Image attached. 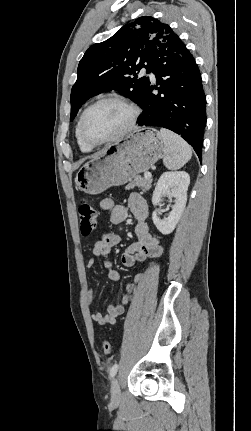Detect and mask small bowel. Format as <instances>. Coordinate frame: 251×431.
Masks as SVG:
<instances>
[{
    "mask_svg": "<svg viewBox=\"0 0 251 431\" xmlns=\"http://www.w3.org/2000/svg\"><path fill=\"white\" fill-rule=\"evenodd\" d=\"M100 211L108 213L109 219L112 223H120L124 221L130 211L137 221L135 227V234L137 241L127 247L122 254V263L127 267H132L138 262H144L148 259L159 258L163 254V247L160 240L150 233L146 219L148 217V206L144 198L136 193H132L128 199V206L116 203L110 198L101 200L99 204ZM121 241L119 235L112 232H103L101 238L93 243L92 255L88 259L87 267L94 266L98 257H103V266L107 270L108 277L112 281H119L121 276L118 271L113 269L112 263L107 259L108 254L112 247L118 245ZM144 279V274H138L134 278L133 283L126 286L127 292L133 293L137 285ZM87 301L89 305L94 303V296L92 290L87 293ZM130 302L128 294L123 295L121 302L117 305H109L107 313L102 314L95 312L92 314V319L99 325L115 324L119 316L125 311V306Z\"/></svg>",
    "mask_w": 251,
    "mask_h": 431,
    "instance_id": "obj_1",
    "label": "small bowel"
}]
</instances>
